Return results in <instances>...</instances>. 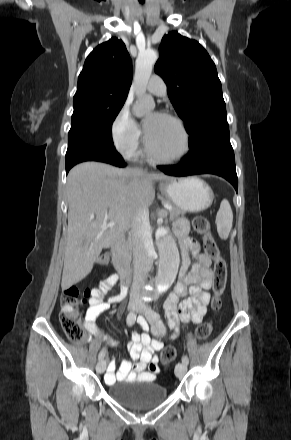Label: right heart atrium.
Segmentation results:
<instances>
[{"label":"right heart atrium","instance_id":"1","mask_svg":"<svg viewBox=\"0 0 291 440\" xmlns=\"http://www.w3.org/2000/svg\"><path fill=\"white\" fill-rule=\"evenodd\" d=\"M111 136L115 149L125 157L131 158L138 154L141 130L131 116L128 105L119 110L111 128Z\"/></svg>","mask_w":291,"mask_h":440}]
</instances>
